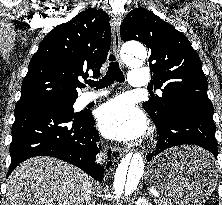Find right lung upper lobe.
<instances>
[{
	"instance_id": "1",
	"label": "right lung upper lobe",
	"mask_w": 222,
	"mask_h": 205,
	"mask_svg": "<svg viewBox=\"0 0 222 205\" xmlns=\"http://www.w3.org/2000/svg\"><path fill=\"white\" fill-rule=\"evenodd\" d=\"M109 16L88 8L71 21L56 26L41 42L31 58L16 108L41 105L48 101H75L79 77L88 71L100 75L110 49Z\"/></svg>"
}]
</instances>
